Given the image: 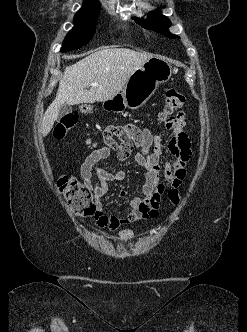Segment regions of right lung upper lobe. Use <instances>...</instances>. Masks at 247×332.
<instances>
[{"instance_id": "cb5924a9", "label": "right lung upper lobe", "mask_w": 247, "mask_h": 332, "mask_svg": "<svg viewBox=\"0 0 247 332\" xmlns=\"http://www.w3.org/2000/svg\"><path fill=\"white\" fill-rule=\"evenodd\" d=\"M100 3L98 0H84L83 6L81 9H93L96 7H100Z\"/></svg>"}]
</instances>
